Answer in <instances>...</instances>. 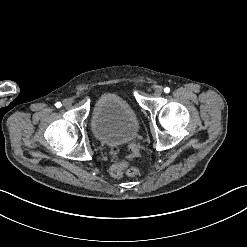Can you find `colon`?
Returning a JSON list of instances; mask_svg holds the SVG:
<instances>
[{
	"label": "colon",
	"mask_w": 247,
	"mask_h": 247,
	"mask_svg": "<svg viewBox=\"0 0 247 247\" xmlns=\"http://www.w3.org/2000/svg\"><path fill=\"white\" fill-rule=\"evenodd\" d=\"M132 152L138 153L139 148L135 145L132 146ZM132 160V155L130 153H125L121 160L111 165L110 174L114 177H123L125 180H130L131 178L143 177L146 174V169L143 166L131 167L130 169H125V167Z\"/></svg>",
	"instance_id": "colon-1"
}]
</instances>
